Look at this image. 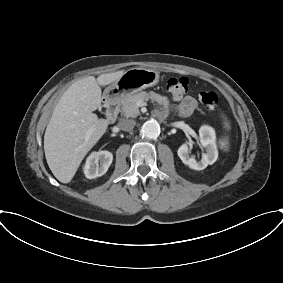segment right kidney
<instances>
[{
    "label": "right kidney",
    "instance_id": "obj_1",
    "mask_svg": "<svg viewBox=\"0 0 283 283\" xmlns=\"http://www.w3.org/2000/svg\"><path fill=\"white\" fill-rule=\"evenodd\" d=\"M113 160V155L109 151H99L91 153L84 165V174L88 179H93L104 175Z\"/></svg>",
    "mask_w": 283,
    "mask_h": 283
}]
</instances>
